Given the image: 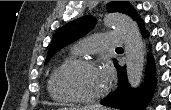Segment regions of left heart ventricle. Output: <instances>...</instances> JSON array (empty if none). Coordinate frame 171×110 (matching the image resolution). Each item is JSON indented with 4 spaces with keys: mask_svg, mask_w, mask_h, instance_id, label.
I'll use <instances>...</instances> for the list:
<instances>
[{
    "mask_svg": "<svg viewBox=\"0 0 171 110\" xmlns=\"http://www.w3.org/2000/svg\"><path fill=\"white\" fill-rule=\"evenodd\" d=\"M62 84L73 94L92 97L100 94L105 89L107 80L97 69L76 67L64 73Z\"/></svg>",
    "mask_w": 171,
    "mask_h": 110,
    "instance_id": "obj_1",
    "label": "left heart ventricle"
}]
</instances>
